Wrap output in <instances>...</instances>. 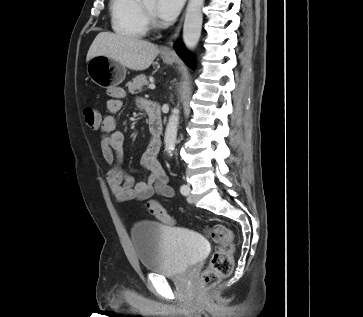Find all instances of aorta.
I'll return each instance as SVG.
<instances>
[{
  "instance_id": "1",
  "label": "aorta",
  "mask_w": 363,
  "mask_h": 317,
  "mask_svg": "<svg viewBox=\"0 0 363 317\" xmlns=\"http://www.w3.org/2000/svg\"><path fill=\"white\" fill-rule=\"evenodd\" d=\"M203 4L204 0H189L187 6L183 26V42L188 50H193L196 47L201 36ZM178 125L179 110L173 109L164 136L165 151L170 155L175 150Z\"/></svg>"
}]
</instances>
